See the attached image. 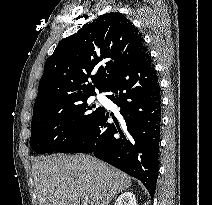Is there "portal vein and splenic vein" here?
<instances>
[{
	"mask_svg": "<svg viewBox=\"0 0 212 205\" xmlns=\"http://www.w3.org/2000/svg\"><path fill=\"white\" fill-rule=\"evenodd\" d=\"M90 202V199L88 197L84 198V204L87 205V203Z\"/></svg>",
	"mask_w": 212,
	"mask_h": 205,
	"instance_id": "1",
	"label": "portal vein and splenic vein"
}]
</instances>
